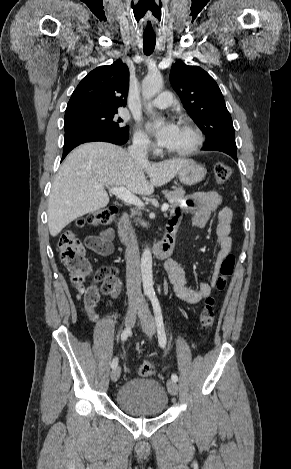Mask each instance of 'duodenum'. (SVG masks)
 I'll return each instance as SVG.
<instances>
[{"instance_id": "1", "label": "duodenum", "mask_w": 291, "mask_h": 469, "mask_svg": "<svg viewBox=\"0 0 291 469\" xmlns=\"http://www.w3.org/2000/svg\"><path fill=\"white\" fill-rule=\"evenodd\" d=\"M129 229V216L128 213L125 212L119 220L118 233L122 242L126 244L129 243L130 240ZM176 232L177 229L175 227L167 226L164 237L152 248L157 258L166 259L172 254L176 241Z\"/></svg>"}]
</instances>
